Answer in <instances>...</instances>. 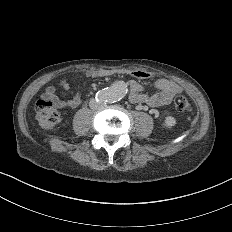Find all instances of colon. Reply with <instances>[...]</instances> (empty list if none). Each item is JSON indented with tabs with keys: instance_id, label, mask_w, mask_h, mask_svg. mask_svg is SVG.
<instances>
[{
	"instance_id": "obj_1",
	"label": "colon",
	"mask_w": 232,
	"mask_h": 232,
	"mask_svg": "<svg viewBox=\"0 0 232 232\" xmlns=\"http://www.w3.org/2000/svg\"><path fill=\"white\" fill-rule=\"evenodd\" d=\"M54 101L55 96H41L36 101L40 120H34V125H39L40 129H58L61 112H57V108H52ZM189 101V94H176L173 106L177 111H186V114H191L193 103Z\"/></svg>"
}]
</instances>
